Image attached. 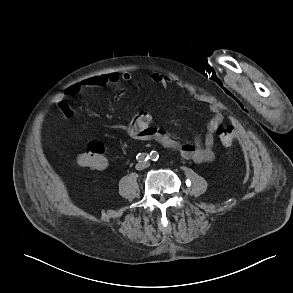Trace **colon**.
Instances as JSON below:
<instances>
[{"label":"colon","mask_w":293,"mask_h":293,"mask_svg":"<svg viewBox=\"0 0 293 293\" xmlns=\"http://www.w3.org/2000/svg\"><path fill=\"white\" fill-rule=\"evenodd\" d=\"M219 141L223 146H230L234 140L235 132L231 125H224L216 130ZM78 164L85 168L101 170L107 166L105 147L102 142H89L85 150L78 156Z\"/></svg>","instance_id":"5ec220e1"}]
</instances>
